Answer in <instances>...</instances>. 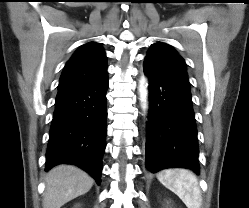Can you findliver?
<instances>
[{"label": "liver", "instance_id": "liver-1", "mask_svg": "<svg viewBox=\"0 0 249 208\" xmlns=\"http://www.w3.org/2000/svg\"><path fill=\"white\" fill-rule=\"evenodd\" d=\"M94 180L73 165H58L45 177L44 208H60L67 202L87 193Z\"/></svg>", "mask_w": 249, "mask_h": 208}]
</instances>
